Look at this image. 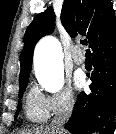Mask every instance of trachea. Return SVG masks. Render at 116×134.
Returning a JSON list of instances; mask_svg holds the SVG:
<instances>
[{
    "mask_svg": "<svg viewBox=\"0 0 116 134\" xmlns=\"http://www.w3.org/2000/svg\"><path fill=\"white\" fill-rule=\"evenodd\" d=\"M80 43H81L83 46H87V40H86V39L81 40ZM86 54H87V55L90 54V51L87 50V51H86Z\"/></svg>",
    "mask_w": 116,
    "mask_h": 134,
    "instance_id": "1",
    "label": "trachea"
}]
</instances>
